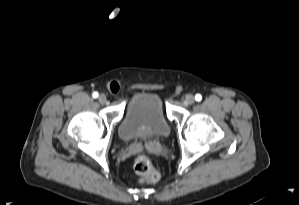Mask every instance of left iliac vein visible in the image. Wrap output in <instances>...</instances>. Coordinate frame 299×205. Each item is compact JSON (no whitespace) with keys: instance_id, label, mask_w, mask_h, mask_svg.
Instances as JSON below:
<instances>
[{"instance_id":"4c4485c4","label":"left iliac vein","mask_w":299,"mask_h":205,"mask_svg":"<svg viewBox=\"0 0 299 205\" xmlns=\"http://www.w3.org/2000/svg\"><path fill=\"white\" fill-rule=\"evenodd\" d=\"M194 102H195V98L192 94H188L184 99V103L186 105H192Z\"/></svg>"}]
</instances>
